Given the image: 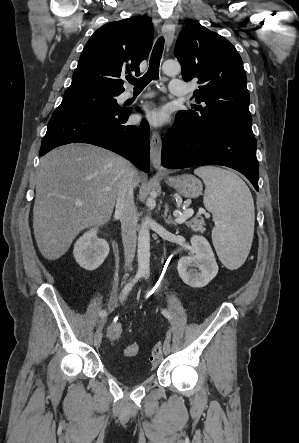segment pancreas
<instances>
[{"label":"pancreas","instance_id":"pancreas-1","mask_svg":"<svg viewBox=\"0 0 299 443\" xmlns=\"http://www.w3.org/2000/svg\"><path fill=\"white\" fill-rule=\"evenodd\" d=\"M188 227H190L195 232H204V220L203 218H192L191 220L185 223Z\"/></svg>","mask_w":299,"mask_h":443}]
</instances>
